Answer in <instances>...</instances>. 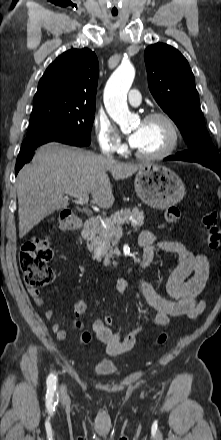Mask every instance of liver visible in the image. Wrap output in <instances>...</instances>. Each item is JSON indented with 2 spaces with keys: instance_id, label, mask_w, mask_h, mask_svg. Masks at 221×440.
I'll return each instance as SVG.
<instances>
[{
  "instance_id": "obj_1",
  "label": "liver",
  "mask_w": 221,
  "mask_h": 440,
  "mask_svg": "<svg viewBox=\"0 0 221 440\" xmlns=\"http://www.w3.org/2000/svg\"><path fill=\"white\" fill-rule=\"evenodd\" d=\"M144 165L111 161L55 142L41 146L17 176L19 237L23 238L48 215L67 208L66 191L90 193L99 207H112L114 195L107 172L121 180Z\"/></svg>"
}]
</instances>
